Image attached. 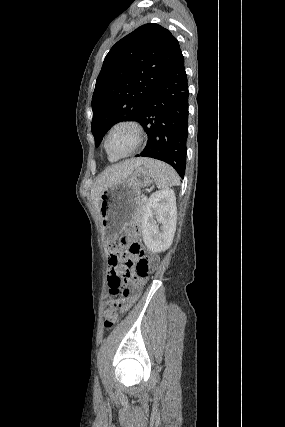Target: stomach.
<instances>
[{"label":"stomach","mask_w":285,"mask_h":427,"mask_svg":"<svg viewBox=\"0 0 285 427\" xmlns=\"http://www.w3.org/2000/svg\"><path fill=\"white\" fill-rule=\"evenodd\" d=\"M152 179L149 170L139 166L126 179L103 192L99 205L104 239L111 240L137 220L141 189L150 185Z\"/></svg>","instance_id":"obj_1"}]
</instances>
